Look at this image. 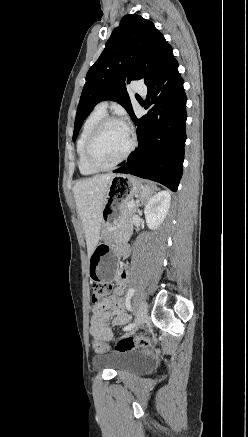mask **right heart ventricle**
<instances>
[{
	"label": "right heart ventricle",
	"mask_w": 248,
	"mask_h": 437,
	"mask_svg": "<svg viewBox=\"0 0 248 437\" xmlns=\"http://www.w3.org/2000/svg\"><path fill=\"white\" fill-rule=\"evenodd\" d=\"M105 117V113L94 109L84 120L78 140H77V165L80 173L85 176L95 174L97 171L88 166L85 159V145L87 139L92 132L95 125Z\"/></svg>",
	"instance_id": "right-heart-ventricle-1"
}]
</instances>
